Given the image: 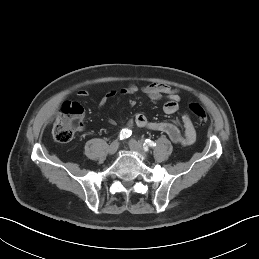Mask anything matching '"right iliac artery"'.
Returning <instances> with one entry per match:
<instances>
[{
    "mask_svg": "<svg viewBox=\"0 0 259 259\" xmlns=\"http://www.w3.org/2000/svg\"><path fill=\"white\" fill-rule=\"evenodd\" d=\"M132 131L128 129H122L119 135L120 140L126 139L131 136Z\"/></svg>",
    "mask_w": 259,
    "mask_h": 259,
    "instance_id": "1",
    "label": "right iliac artery"
}]
</instances>
